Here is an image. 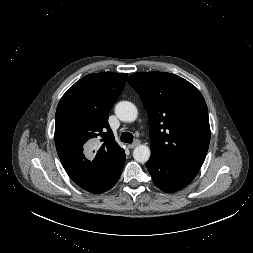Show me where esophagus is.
I'll list each match as a JSON object with an SVG mask.
<instances>
[{
    "mask_svg": "<svg viewBox=\"0 0 253 253\" xmlns=\"http://www.w3.org/2000/svg\"><path fill=\"white\" fill-rule=\"evenodd\" d=\"M139 144H140V140H136V141H134L132 144H129L128 147H129L130 149H133V148H135L136 146H138Z\"/></svg>",
    "mask_w": 253,
    "mask_h": 253,
    "instance_id": "1",
    "label": "esophagus"
}]
</instances>
